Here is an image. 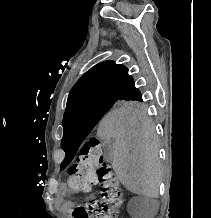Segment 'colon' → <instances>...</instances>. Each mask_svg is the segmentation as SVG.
Returning a JSON list of instances; mask_svg holds the SVG:
<instances>
[{"mask_svg":"<svg viewBox=\"0 0 211 218\" xmlns=\"http://www.w3.org/2000/svg\"><path fill=\"white\" fill-rule=\"evenodd\" d=\"M97 183L101 185L99 197L75 207L73 218H115L123 204L120 183L103 157L99 140L90 137L84 141L76 162L68 170L67 186L73 193L89 192Z\"/></svg>","mask_w":211,"mask_h":218,"instance_id":"1","label":"colon"}]
</instances>
